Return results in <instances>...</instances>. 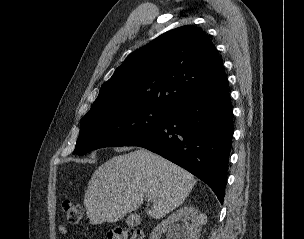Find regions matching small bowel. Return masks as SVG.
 I'll list each match as a JSON object with an SVG mask.
<instances>
[{
	"mask_svg": "<svg viewBox=\"0 0 304 239\" xmlns=\"http://www.w3.org/2000/svg\"><path fill=\"white\" fill-rule=\"evenodd\" d=\"M58 231L61 235H66L68 233V230H67L66 226H64V225H60L58 228Z\"/></svg>",
	"mask_w": 304,
	"mask_h": 239,
	"instance_id": "obj_1",
	"label": "small bowel"
}]
</instances>
